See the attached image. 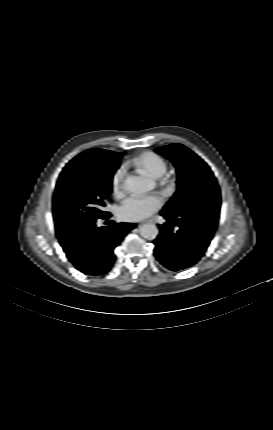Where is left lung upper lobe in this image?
<instances>
[{"label":"left lung upper lobe","mask_w":273,"mask_h":430,"mask_svg":"<svg viewBox=\"0 0 273 430\" xmlns=\"http://www.w3.org/2000/svg\"><path fill=\"white\" fill-rule=\"evenodd\" d=\"M156 151L170 159L178 171V190L164 207V211L175 214L177 218L186 217L187 220L200 202H209L204 198L220 204L217 180L199 156L181 144H171L157 148Z\"/></svg>","instance_id":"1"}]
</instances>
